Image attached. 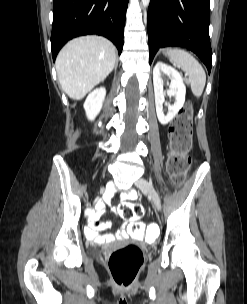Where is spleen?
Masks as SVG:
<instances>
[{"label": "spleen", "instance_id": "obj_1", "mask_svg": "<svg viewBox=\"0 0 247 304\" xmlns=\"http://www.w3.org/2000/svg\"><path fill=\"white\" fill-rule=\"evenodd\" d=\"M167 53L170 61L174 65H178L188 75L192 93L196 97H200L206 83L203 67L190 53L183 49H169Z\"/></svg>", "mask_w": 247, "mask_h": 304}]
</instances>
